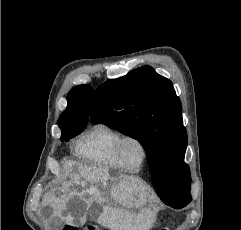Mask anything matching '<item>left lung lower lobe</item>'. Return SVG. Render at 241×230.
I'll return each mask as SVG.
<instances>
[{"mask_svg": "<svg viewBox=\"0 0 241 230\" xmlns=\"http://www.w3.org/2000/svg\"><path fill=\"white\" fill-rule=\"evenodd\" d=\"M151 176H152L153 185H154V187H156L157 185H159V183H160V181H161L160 176H159V173H157L156 171H153V172L151 173ZM167 205H168V204H167ZM170 206L179 209V208H181V207H184L185 204H181V205L173 204V205H170Z\"/></svg>", "mask_w": 241, "mask_h": 230, "instance_id": "1", "label": "left lung lower lobe"}]
</instances>
